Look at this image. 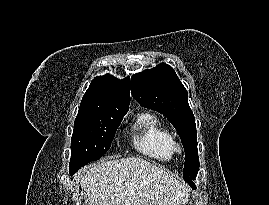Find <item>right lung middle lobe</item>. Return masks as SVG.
I'll return each mask as SVG.
<instances>
[{
    "label": "right lung middle lobe",
    "instance_id": "right-lung-middle-lobe-1",
    "mask_svg": "<svg viewBox=\"0 0 269 205\" xmlns=\"http://www.w3.org/2000/svg\"><path fill=\"white\" fill-rule=\"evenodd\" d=\"M123 116L77 115L71 139V175L110 149Z\"/></svg>",
    "mask_w": 269,
    "mask_h": 205
}]
</instances>
